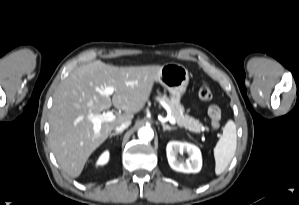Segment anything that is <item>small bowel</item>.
Listing matches in <instances>:
<instances>
[{
    "label": "small bowel",
    "instance_id": "c3829d8e",
    "mask_svg": "<svg viewBox=\"0 0 299 205\" xmlns=\"http://www.w3.org/2000/svg\"><path fill=\"white\" fill-rule=\"evenodd\" d=\"M214 107H216V106H212V107H210V108H214Z\"/></svg>",
    "mask_w": 299,
    "mask_h": 205
}]
</instances>
